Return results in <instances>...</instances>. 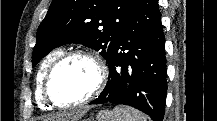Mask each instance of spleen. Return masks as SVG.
Returning a JSON list of instances; mask_svg holds the SVG:
<instances>
[{"mask_svg":"<svg viewBox=\"0 0 217 121\" xmlns=\"http://www.w3.org/2000/svg\"><path fill=\"white\" fill-rule=\"evenodd\" d=\"M98 121H146L144 115L132 107L115 106L111 111H103L97 117Z\"/></svg>","mask_w":217,"mask_h":121,"instance_id":"1","label":"spleen"}]
</instances>
